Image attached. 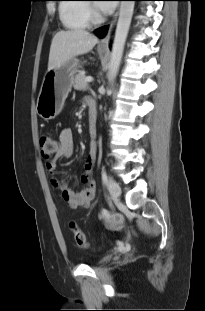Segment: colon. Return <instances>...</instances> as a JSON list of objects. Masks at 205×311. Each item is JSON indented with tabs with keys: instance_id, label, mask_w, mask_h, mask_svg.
I'll use <instances>...</instances> for the list:
<instances>
[{
	"instance_id": "obj_1",
	"label": "colon",
	"mask_w": 205,
	"mask_h": 311,
	"mask_svg": "<svg viewBox=\"0 0 205 311\" xmlns=\"http://www.w3.org/2000/svg\"><path fill=\"white\" fill-rule=\"evenodd\" d=\"M41 155L45 161L51 160L52 156L55 155L59 148L60 143L57 139L49 134H45L40 139ZM70 230L73 234L74 241L79 248L86 249L89 244L86 240L85 234L80 229L75 221H71L69 224Z\"/></svg>"
}]
</instances>
